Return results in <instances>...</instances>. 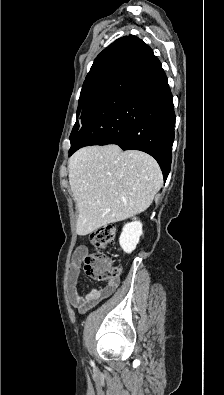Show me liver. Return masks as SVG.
<instances>
[{
    "label": "liver",
    "mask_w": 224,
    "mask_h": 395,
    "mask_svg": "<svg viewBox=\"0 0 224 395\" xmlns=\"http://www.w3.org/2000/svg\"><path fill=\"white\" fill-rule=\"evenodd\" d=\"M68 168L80 236L145 211L163 184L153 157L137 150L123 152L117 145L82 148Z\"/></svg>",
    "instance_id": "1"
}]
</instances>
